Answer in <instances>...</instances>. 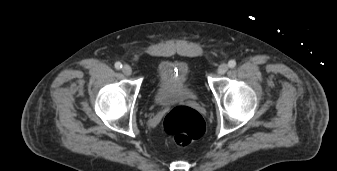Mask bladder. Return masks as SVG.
Segmentation results:
<instances>
[{
    "instance_id": "1",
    "label": "bladder",
    "mask_w": 337,
    "mask_h": 171,
    "mask_svg": "<svg viewBox=\"0 0 337 171\" xmlns=\"http://www.w3.org/2000/svg\"><path fill=\"white\" fill-rule=\"evenodd\" d=\"M196 99L189 81V68L183 62H162L156 70L152 101L157 106H168Z\"/></svg>"
}]
</instances>
